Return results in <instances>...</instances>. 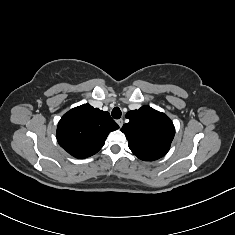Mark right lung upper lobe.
I'll return each instance as SVG.
<instances>
[{"mask_svg":"<svg viewBox=\"0 0 235 235\" xmlns=\"http://www.w3.org/2000/svg\"><path fill=\"white\" fill-rule=\"evenodd\" d=\"M118 128L108 112L87 103L63 115L57 126V140L72 156L87 158L97 153L108 134Z\"/></svg>","mask_w":235,"mask_h":235,"instance_id":"cb5924a9","label":"right lung upper lobe"}]
</instances>
